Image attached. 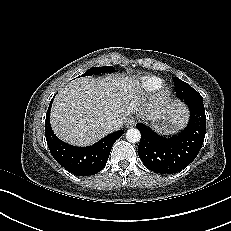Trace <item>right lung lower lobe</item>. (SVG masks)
Here are the masks:
<instances>
[{
    "instance_id": "right-lung-lower-lobe-1",
    "label": "right lung lower lobe",
    "mask_w": 231,
    "mask_h": 231,
    "mask_svg": "<svg viewBox=\"0 0 231 231\" xmlns=\"http://www.w3.org/2000/svg\"><path fill=\"white\" fill-rule=\"evenodd\" d=\"M52 101L53 99L46 114L45 135L54 159L66 170L77 176L94 175L101 171L106 165L113 144L122 136L124 131L114 132L89 147L69 145L61 141L51 128L49 120Z\"/></svg>"
}]
</instances>
